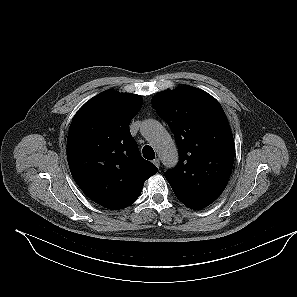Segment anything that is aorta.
Here are the masks:
<instances>
[{"mask_svg":"<svg viewBox=\"0 0 297 297\" xmlns=\"http://www.w3.org/2000/svg\"><path fill=\"white\" fill-rule=\"evenodd\" d=\"M142 135L157 151L166 167H174L178 162V150L170 134L156 120H145L141 125Z\"/></svg>","mask_w":297,"mask_h":297,"instance_id":"762f6f07","label":"aorta"}]
</instances>
